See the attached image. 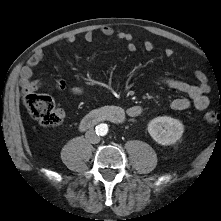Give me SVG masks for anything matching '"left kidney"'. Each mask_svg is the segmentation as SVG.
<instances>
[{
    "label": "left kidney",
    "mask_w": 221,
    "mask_h": 221,
    "mask_svg": "<svg viewBox=\"0 0 221 221\" xmlns=\"http://www.w3.org/2000/svg\"><path fill=\"white\" fill-rule=\"evenodd\" d=\"M147 129L153 140L164 146L176 143L184 132L183 124L168 116L152 119Z\"/></svg>",
    "instance_id": "obj_1"
}]
</instances>
